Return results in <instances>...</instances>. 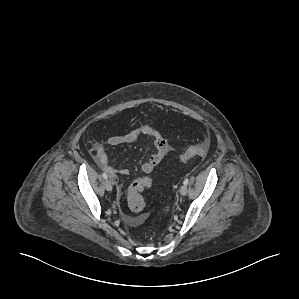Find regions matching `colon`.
<instances>
[{"mask_svg":"<svg viewBox=\"0 0 299 299\" xmlns=\"http://www.w3.org/2000/svg\"><path fill=\"white\" fill-rule=\"evenodd\" d=\"M208 148L206 143L191 146L180 156V160L187 162L192 158L204 157L208 152ZM152 184L153 179L150 177H141L131 183L128 189L127 201L132 211L139 212L144 208L145 202L141 192ZM143 220L144 216L138 218L136 222L141 223Z\"/></svg>","mask_w":299,"mask_h":299,"instance_id":"5ec220e1","label":"colon"}]
</instances>
